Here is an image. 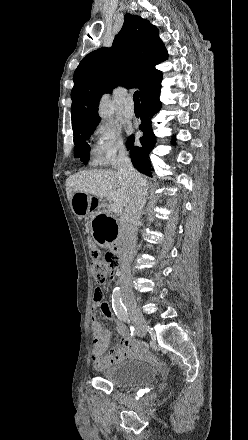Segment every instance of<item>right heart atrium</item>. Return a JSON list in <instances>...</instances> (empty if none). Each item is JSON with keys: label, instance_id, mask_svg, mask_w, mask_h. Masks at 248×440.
Returning <instances> with one entry per match:
<instances>
[{"label": "right heart atrium", "instance_id": "1", "mask_svg": "<svg viewBox=\"0 0 248 440\" xmlns=\"http://www.w3.org/2000/svg\"><path fill=\"white\" fill-rule=\"evenodd\" d=\"M92 162L96 166H114L127 153L121 133L113 126L102 123L93 133Z\"/></svg>", "mask_w": 248, "mask_h": 440}]
</instances>
